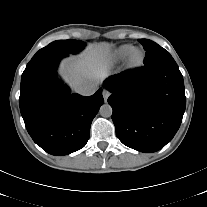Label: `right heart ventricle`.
I'll return each mask as SVG.
<instances>
[{
  "instance_id": "right-heart-ventricle-1",
  "label": "right heart ventricle",
  "mask_w": 207,
  "mask_h": 207,
  "mask_svg": "<svg viewBox=\"0 0 207 207\" xmlns=\"http://www.w3.org/2000/svg\"><path fill=\"white\" fill-rule=\"evenodd\" d=\"M133 48L134 47L132 45H129V44H125V45H122V46L118 47L113 52L112 59L115 62L124 60L129 55V53L132 51Z\"/></svg>"
}]
</instances>
